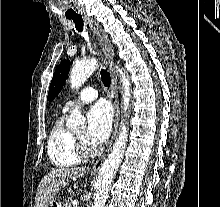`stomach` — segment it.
<instances>
[{"mask_svg": "<svg viewBox=\"0 0 220 207\" xmlns=\"http://www.w3.org/2000/svg\"><path fill=\"white\" fill-rule=\"evenodd\" d=\"M46 207H62V203L59 199L54 198Z\"/></svg>", "mask_w": 220, "mask_h": 207, "instance_id": "0dacf381", "label": "stomach"}]
</instances>
